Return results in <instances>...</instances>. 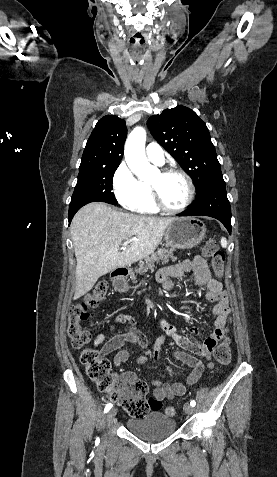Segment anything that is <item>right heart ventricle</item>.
<instances>
[{"label":"right heart ventricle","mask_w":277,"mask_h":477,"mask_svg":"<svg viewBox=\"0 0 277 477\" xmlns=\"http://www.w3.org/2000/svg\"><path fill=\"white\" fill-rule=\"evenodd\" d=\"M142 197L139 203L132 209L141 214H155L158 212V208L155 206L152 195L149 189V185L141 182Z\"/></svg>","instance_id":"right-heart-ventricle-1"}]
</instances>
